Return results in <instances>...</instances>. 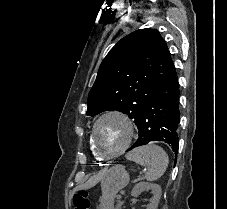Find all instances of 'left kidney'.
I'll list each match as a JSON object with an SVG mask.
<instances>
[{"mask_svg":"<svg viewBox=\"0 0 227 209\" xmlns=\"http://www.w3.org/2000/svg\"><path fill=\"white\" fill-rule=\"evenodd\" d=\"M143 191H151L153 197L150 199V205H148V209H157L158 203L161 197V187L159 185H155V183H137L134 189L131 191L132 197H138L140 193Z\"/></svg>","mask_w":227,"mask_h":209,"instance_id":"1","label":"left kidney"}]
</instances>
